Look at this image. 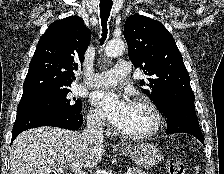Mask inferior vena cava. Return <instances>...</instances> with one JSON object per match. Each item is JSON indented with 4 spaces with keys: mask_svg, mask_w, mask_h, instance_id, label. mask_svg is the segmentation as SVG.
Returning a JSON list of instances; mask_svg holds the SVG:
<instances>
[{
    "mask_svg": "<svg viewBox=\"0 0 224 174\" xmlns=\"http://www.w3.org/2000/svg\"><path fill=\"white\" fill-rule=\"evenodd\" d=\"M82 135L91 143L102 144L104 142L103 122L99 118L87 119V128Z\"/></svg>",
    "mask_w": 224,
    "mask_h": 174,
    "instance_id": "602c4592",
    "label": "inferior vena cava"
}]
</instances>
